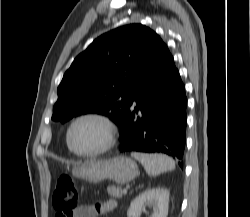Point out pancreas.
<instances>
[{"label":"pancreas","mask_w":250,"mask_h":217,"mask_svg":"<svg viewBox=\"0 0 250 217\" xmlns=\"http://www.w3.org/2000/svg\"><path fill=\"white\" fill-rule=\"evenodd\" d=\"M123 188L122 187H115V186H109L107 188L109 196L113 198H121L123 196Z\"/></svg>","instance_id":"pancreas-1"}]
</instances>
